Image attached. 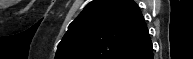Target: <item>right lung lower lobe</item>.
<instances>
[{
    "label": "right lung lower lobe",
    "mask_w": 193,
    "mask_h": 59,
    "mask_svg": "<svg viewBox=\"0 0 193 59\" xmlns=\"http://www.w3.org/2000/svg\"><path fill=\"white\" fill-rule=\"evenodd\" d=\"M126 59H153L152 42L149 41L146 45L128 56Z\"/></svg>",
    "instance_id": "98d812e1"
}]
</instances>
